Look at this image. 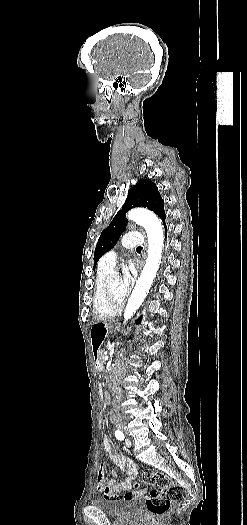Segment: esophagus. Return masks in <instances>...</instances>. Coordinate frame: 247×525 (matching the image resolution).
I'll return each instance as SVG.
<instances>
[{
	"instance_id": "1",
	"label": "esophagus",
	"mask_w": 247,
	"mask_h": 525,
	"mask_svg": "<svg viewBox=\"0 0 247 525\" xmlns=\"http://www.w3.org/2000/svg\"><path fill=\"white\" fill-rule=\"evenodd\" d=\"M143 268H146V263H141V267H139V273H142Z\"/></svg>"
}]
</instances>
